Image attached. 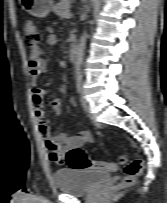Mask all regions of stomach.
<instances>
[{
	"label": "stomach",
	"instance_id": "obj_1",
	"mask_svg": "<svg viewBox=\"0 0 167 203\" xmlns=\"http://www.w3.org/2000/svg\"><path fill=\"white\" fill-rule=\"evenodd\" d=\"M22 8L36 17H46L53 5V0H20Z\"/></svg>",
	"mask_w": 167,
	"mask_h": 203
}]
</instances>
